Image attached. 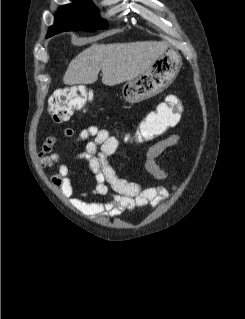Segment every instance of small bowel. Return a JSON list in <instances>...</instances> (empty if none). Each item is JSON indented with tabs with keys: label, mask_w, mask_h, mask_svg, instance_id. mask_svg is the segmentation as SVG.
Returning a JSON list of instances; mask_svg holds the SVG:
<instances>
[{
	"label": "small bowel",
	"mask_w": 245,
	"mask_h": 319,
	"mask_svg": "<svg viewBox=\"0 0 245 319\" xmlns=\"http://www.w3.org/2000/svg\"><path fill=\"white\" fill-rule=\"evenodd\" d=\"M170 97L172 96H168L166 102L161 105L166 104ZM63 134L66 138H74L76 143L87 142L85 149L73 155L71 160L86 162L95 178L94 194L108 197L106 201H85L87 194L84 192H80L79 197H73L74 187L69 166L62 161V154L54 150L57 138L48 137L39 152V163L42 167L54 171L51 176L53 185L70 198L71 204L79 211L90 216L114 218L124 211L136 208H155L168 198L169 191L162 186L144 188L116 173L108 158L117 151L119 139L107 129L89 126L76 133L74 129L66 128ZM179 140V135L172 134L148 147L145 166L156 179L164 180L168 177V173L158 163V157L177 145Z\"/></svg>",
	"instance_id": "c3829d8e"
}]
</instances>
